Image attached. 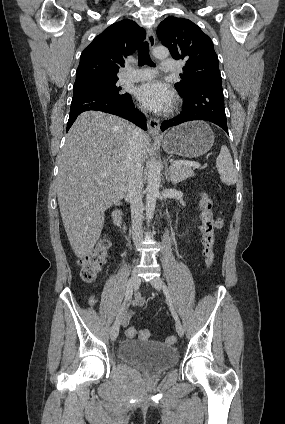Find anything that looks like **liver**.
<instances>
[{
	"label": "liver",
	"instance_id": "obj_1",
	"mask_svg": "<svg viewBox=\"0 0 285 424\" xmlns=\"http://www.w3.org/2000/svg\"><path fill=\"white\" fill-rule=\"evenodd\" d=\"M133 127L120 117L87 111L66 135L59 155L57 197L68 240L79 258L99 239L105 210L126 195V160ZM149 148L150 138L143 132V160Z\"/></svg>",
	"mask_w": 285,
	"mask_h": 424
}]
</instances>
